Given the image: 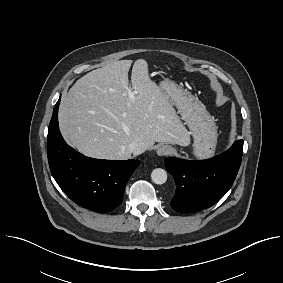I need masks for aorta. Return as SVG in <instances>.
<instances>
[{"instance_id":"762f6f07","label":"aorta","mask_w":283,"mask_h":283,"mask_svg":"<svg viewBox=\"0 0 283 283\" xmlns=\"http://www.w3.org/2000/svg\"><path fill=\"white\" fill-rule=\"evenodd\" d=\"M151 179L155 184H164L167 181V173L162 168H156L151 173Z\"/></svg>"}]
</instances>
